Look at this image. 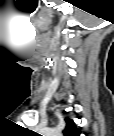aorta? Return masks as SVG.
Masks as SVG:
<instances>
[{
  "label": "aorta",
  "instance_id": "obj_1",
  "mask_svg": "<svg viewBox=\"0 0 114 136\" xmlns=\"http://www.w3.org/2000/svg\"><path fill=\"white\" fill-rule=\"evenodd\" d=\"M58 133L57 132H48V133H45V135H57Z\"/></svg>",
  "mask_w": 114,
  "mask_h": 136
}]
</instances>
